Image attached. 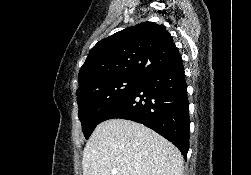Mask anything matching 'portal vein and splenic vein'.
Returning <instances> with one entry per match:
<instances>
[{
    "label": "portal vein and splenic vein",
    "mask_w": 251,
    "mask_h": 175,
    "mask_svg": "<svg viewBox=\"0 0 251 175\" xmlns=\"http://www.w3.org/2000/svg\"><path fill=\"white\" fill-rule=\"evenodd\" d=\"M111 173H117V169H111Z\"/></svg>",
    "instance_id": "obj_1"
}]
</instances>
